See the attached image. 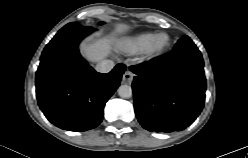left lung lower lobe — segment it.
I'll return each instance as SVG.
<instances>
[{"mask_svg":"<svg viewBox=\"0 0 248 158\" xmlns=\"http://www.w3.org/2000/svg\"><path fill=\"white\" fill-rule=\"evenodd\" d=\"M134 109L148 131H181L202 111L206 79L200 51L182 37L170 53L131 66Z\"/></svg>","mask_w":248,"mask_h":158,"instance_id":"0a47b994","label":"left lung lower lobe"}]
</instances>
